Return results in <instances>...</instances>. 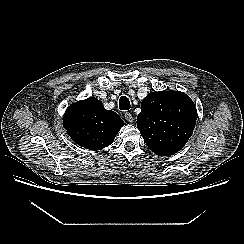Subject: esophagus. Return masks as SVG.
<instances>
[{
    "mask_svg": "<svg viewBox=\"0 0 244 244\" xmlns=\"http://www.w3.org/2000/svg\"><path fill=\"white\" fill-rule=\"evenodd\" d=\"M125 119H126L128 122H130V123H132L133 120H134L132 114L129 113V112H126V113H125Z\"/></svg>",
    "mask_w": 244,
    "mask_h": 244,
    "instance_id": "obj_1",
    "label": "esophagus"
}]
</instances>
